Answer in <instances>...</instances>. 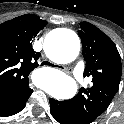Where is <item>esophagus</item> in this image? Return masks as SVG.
Listing matches in <instances>:
<instances>
[{"label":"esophagus","instance_id":"obj_1","mask_svg":"<svg viewBox=\"0 0 124 124\" xmlns=\"http://www.w3.org/2000/svg\"><path fill=\"white\" fill-rule=\"evenodd\" d=\"M67 73H71V69L70 68H65L64 69Z\"/></svg>","mask_w":124,"mask_h":124}]
</instances>
